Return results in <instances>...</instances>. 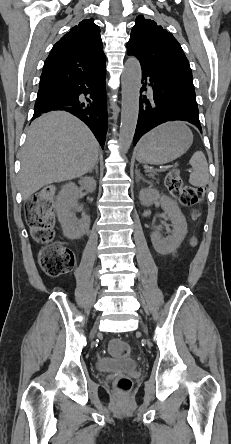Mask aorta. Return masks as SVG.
Returning <instances> with one entry per match:
<instances>
[{"mask_svg": "<svg viewBox=\"0 0 231 444\" xmlns=\"http://www.w3.org/2000/svg\"><path fill=\"white\" fill-rule=\"evenodd\" d=\"M142 71L137 58L129 57L122 75V110L119 133L121 151L126 153L133 141L138 115Z\"/></svg>", "mask_w": 231, "mask_h": 444, "instance_id": "762f6f07", "label": "aorta"}]
</instances>
